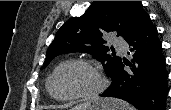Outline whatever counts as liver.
<instances>
[{
    "label": "liver",
    "mask_w": 171,
    "mask_h": 110,
    "mask_svg": "<svg viewBox=\"0 0 171 110\" xmlns=\"http://www.w3.org/2000/svg\"><path fill=\"white\" fill-rule=\"evenodd\" d=\"M115 102H116L115 100H107V99L101 100L102 105L104 107H106V108L115 105ZM81 106H88V105L85 104V105H81ZM118 107L122 108L123 107V102H120L118 104Z\"/></svg>",
    "instance_id": "6515ba94"
}]
</instances>
